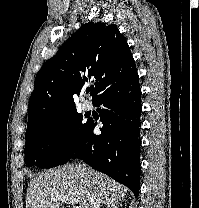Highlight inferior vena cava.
<instances>
[{"instance_id": "inferior-vena-cava-1", "label": "inferior vena cava", "mask_w": 199, "mask_h": 208, "mask_svg": "<svg viewBox=\"0 0 199 208\" xmlns=\"http://www.w3.org/2000/svg\"><path fill=\"white\" fill-rule=\"evenodd\" d=\"M85 167V165H83ZM101 200L99 196L95 193L92 192L89 200V208H100Z\"/></svg>"}]
</instances>
